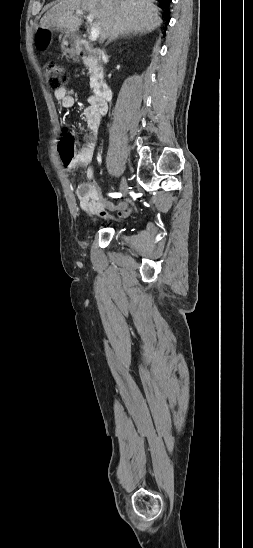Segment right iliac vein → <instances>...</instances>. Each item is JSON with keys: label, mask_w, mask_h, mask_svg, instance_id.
Returning <instances> with one entry per match:
<instances>
[{"label": "right iliac vein", "mask_w": 253, "mask_h": 548, "mask_svg": "<svg viewBox=\"0 0 253 548\" xmlns=\"http://www.w3.org/2000/svg\"><path fill=\"white\" fill-rule=\"evenodd\" d=\"M127 181H126V178L123 177L122 180H121V183H120V192L123 196H126L127 194Z\"/></svg>", "instance_id": "right-iliac-vein-1"}]
</instances>
